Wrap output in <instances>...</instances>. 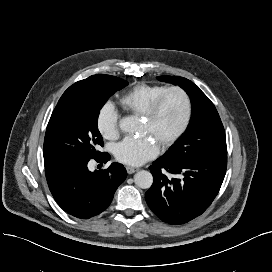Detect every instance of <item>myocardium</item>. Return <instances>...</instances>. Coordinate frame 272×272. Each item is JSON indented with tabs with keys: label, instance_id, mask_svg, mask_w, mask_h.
I'll use <instances>...</instances> for the list:
<instances>
[{
	"label": "myocardium",
	"instance_id": "obj_1",
	"mask_svg": "<svg viewBox=\"0 0 272 272\" xmlns=\"http://www.w3.org/2000/svg\"><path fill=\"white\" fill-rule=\"evenodd\" d=\"M176 92L181 95L184 101V117L180 126L161 144L162 149L170 147L186 131L192 117V102L188 92L180 86L167 87L149 105L142 115L147 120H152L158 113L163 101L170 94Z\"/></svg>",
	"mask_w": 272,
	"mask_h": 272
}]
</instances>
